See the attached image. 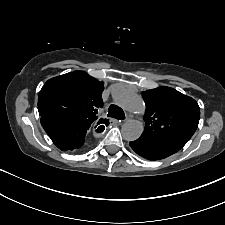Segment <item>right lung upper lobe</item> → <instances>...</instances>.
<instances>
[{"label": "right lung upper lobe", "instance_id": "1", "mask_svg": "<svg viewBox=\"0 0 225 225\" xmlns=\"http://www.w3.org/2000/svg\"><path fill=\"white\" fill-rule=\"evenodd\" d=\"M103 85L84 71L51 78L39 93V115L79 120L90 127L99 125L96 114L103 106Z\"/></svg>", "mask_w": 225, "mask_h": 225}]
</instances>
